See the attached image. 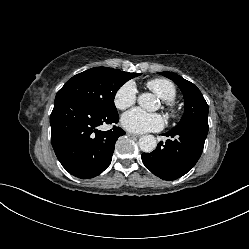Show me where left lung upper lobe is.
I'll return each instance as SVG.
<instances>
[{
	"mask_svg": "<svg viewBox=\"0 0 249 249\" xmlns=\"http://www.w3.org/2000/svg\"><path fill=\"white\" fill-rule=\"evenodd\" d=\"M161 75L174 81L181 89L185 110L180 122L174 128L185 126L196 120L208 121V105L200 90L191 82L171 72H160Z\"/></svg>",
	"mask_w": 249,
	"mask_h": 249,
	"instance_id": "obj_1",
	"label": "left lung upper lobe"
}]
</instances>
